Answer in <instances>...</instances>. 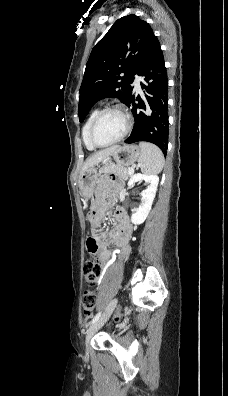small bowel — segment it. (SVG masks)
Segmentation results:
<instances>
[{
  "instance_id": "1",
  "label": "small bowel",
  "mask_w": 228,
  "mask_h": 396,
  "mask_svg": "<svg viewBox=\"0 0 228 396\" xmlns=\"http://www.w3.org/2000/svg\"><path fill=\"white\" fill-rule=\"evenodd\" d=\"M117 188H118V182L115 179H110L107 182L102 183L97 189V200L92 205L93 210L96 211V215L93 220V231L95 238L98 242V249L95 255L102 270L106 269L112 257V252L108 248V243L110 240L116 242V244L121 248L122 253H127L129 251L128 240L131 230L129 235L119 236L116 228L112 230L109 234H106L100 229L99 221L102 216V212L104 210V198L105 196L109 195L112 190H116ZM115 214L117 218L122 217L128 223L124 211H122L121 209H117L115 211ZM100 280H101V276L99 275L95 282L99 283Z\"/></svg>"
}]
</instances>
